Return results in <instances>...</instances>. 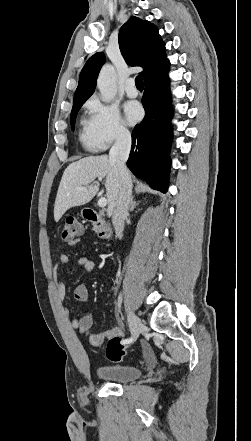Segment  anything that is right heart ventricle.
<instances>
[{"mask_svg": "<svg viewBox=\"0 0 251 441\" xmlns=\"http://www.w3.org/2000/svg\"><path fill=\"white\" fill-rule=\"evenodd\" d=\"M81 123H82V129H81L80 134H79L80 141L87 148L95 149L94 145H93L92 136L90 134L89 126H88V121L87 120H82Z\"/></svg>", "mask_w": 251, "mask_h": 441, "instance_id": "e07e8e85", "label": "right heart ventricle"}]
</instances>
